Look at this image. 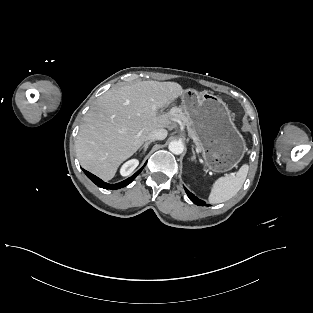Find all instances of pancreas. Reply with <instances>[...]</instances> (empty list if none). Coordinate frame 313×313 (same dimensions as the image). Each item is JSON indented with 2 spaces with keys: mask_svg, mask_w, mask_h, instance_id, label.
I'll use <instances>...</instances> for the list:
<instances>
[{
  "mask_svg": "<svg viewBox=\"0 0 313 313\" xmlns=\"http://www.w3.org/2000/svg\"><path fill=\"white\" fill-rule=\"evenodd\" d=\"M175 119L180 120L185 126H187V129H188L192 139L194 140L195 144L197 145L198 138L194 134V131H193L192 127H191V122H190L189 118L179 109Z\"/></svg>",
  "mask_w": 313,
  "mask_h": 313,
  "instance_id": "cf45deb5",
  "label": "pancreas"
}]
</instances>
